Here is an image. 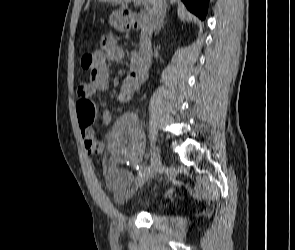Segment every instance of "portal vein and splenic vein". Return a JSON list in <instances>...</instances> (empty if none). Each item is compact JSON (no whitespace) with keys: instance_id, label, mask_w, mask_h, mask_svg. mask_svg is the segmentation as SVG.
Listing matches in <instances>:
<instances>
[{"instance_id":"obj_1","label":"portal vein and splenic vein","mask_w":295,"mask_h":250,"mask_svg":"<svg viewBox=\"0 0 295 250\" xmlns=\"http://www.w3.org/2000/svg\"><path fill=\"white\" fill-rule=\"evenodd\" d=\"M134 2L138 3V4H143L146 6V12L147 14H151L152 13V10L151 8L147 5V2H145L144 0H133Z\"/></svg>"}]
</instances>
